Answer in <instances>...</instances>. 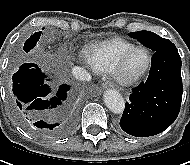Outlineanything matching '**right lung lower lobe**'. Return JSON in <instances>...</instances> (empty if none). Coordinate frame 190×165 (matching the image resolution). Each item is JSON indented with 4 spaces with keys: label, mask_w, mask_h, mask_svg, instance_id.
Wrapping results in <instances>:
<instances>
[{
    "label": "right lung lower lobe",
    "mask_w": 190,
    "mask_h": 165,
    "mask_svg": "<svg viewBox=\"0 0 190 165\" xmlns=\"http://www.w3.org/2000/svg\"><path fill=\"white\" fill-rule=\"evenodd\" d=\"M45 75L33 63L21 65L13 75L11 89L12 107L18 120L27 127L42 131L50 137H62L72 128L74 116L68 115L63 122L52 123L42 119L48 109L56 108L67 98L68 85L60 86L56 96L46 100L50 88L44 84Z\"/></svg>",
    "instance_id": "obj_1"
}]
</instances>
